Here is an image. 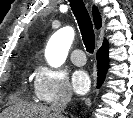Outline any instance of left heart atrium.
Segmentation results:
<instances>
[{
  "label": "left heart atrium",
  "instance_id": "left-heart-atrium-1",
  "mask_svg": "<svg viewBox=\"0 0 133 118\" xmlns=\"http://www.w3.org/2000/svg\"><path fill=\"white\" fill-rule=\"evenodd\" d=\"M72 86L76 93L85 94L90 88V79L83 70L75 71L72 76Z\"/></svg>",
  "mask_w": 133,
  "mask_h": 118
}]
</instances>
